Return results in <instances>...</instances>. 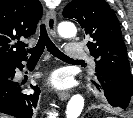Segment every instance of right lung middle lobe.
<instances>
[{
  "label": "right lung middle lobe",
  "instance_id": "1",
  "mask_svg": "<svg viewBox=\"0 0 133 118\" xmlns=\"http://www.w3.org/2000/svg\"><path fill=\"white\" fill-rule=\"evenodd\" d=\"M9 73V67H0V79L5 78Z\"/></svg>",
  "mask_w": 133,
  "mask_h": 118
}]
</instances>
